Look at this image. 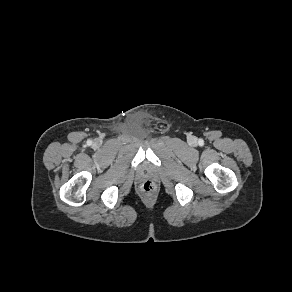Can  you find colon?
Segmentation results:
<instances>
[{
    "label": "colon",
    "mask_w": 292,
    "mask_h": 292,
    "mask_svg": "<svg viewBox=\"0 0 292 292\" xmlns=\"http://www.w3.org/2000/svg\"><path fill=\"white\" fill-rule=\"evenodd\" d=\"M142 191L150 194L156 190V184L152 180H146L142 184Z\"/></svg>",
    "instance_id": "1"
}]
</instances>
